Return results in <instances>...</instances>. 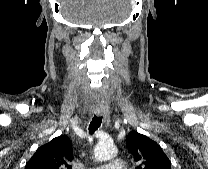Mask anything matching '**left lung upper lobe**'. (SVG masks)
I'll return each mask as SVG.
<instances>
[{
  "label": "left lung upper lobe",
  "instance_id": "1",
  "mask_svg": "<svg viewBox=\"0 0 208 169\" xmlns=\"http://www.w3.org/2000/svg\"><path fill=\"white\" fill-rule=\"evenodd\" d=\"M126 145L138 164L136 169H171L162 148L147 136L132 131L126 137Z\"/></svg>",
  "mask_w": 208,
  "mask_h": 169
}]
</instances>
